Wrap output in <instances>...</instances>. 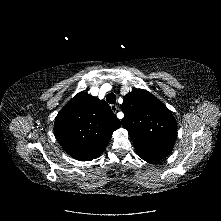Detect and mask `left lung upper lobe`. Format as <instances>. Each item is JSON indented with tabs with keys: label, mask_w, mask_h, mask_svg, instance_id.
Masks as SVG:
<instances>
[{
	"label": "left lung upper lobe",
	"mask_w": 221,
	"mask_h": 221,
	"mask_svg": "<svg viewBox=\"0 0 221 221\" xmlns=\"http://www.w3.org/2000/svg\"><path fill=\"white\" fill-rule=\"evenodd\" d=\"M121 109L122 125L144 161L157 163L171 153L177 124L160 100L146 90L135 89L124 97Z\"/></svg>",
	"instance_id": "1"
}]
</instances>
